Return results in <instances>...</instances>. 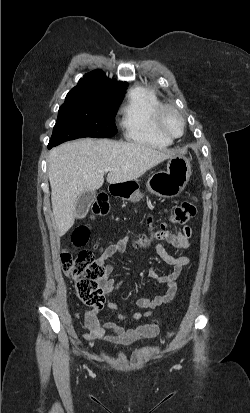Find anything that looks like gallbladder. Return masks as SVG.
I'll return each mask as SVG.
<instances>
[{
	"label": "gallbladder",
	"mask_w": 250,
	"mask_h": 413,
	"mask_svg": "<svg viewBox=\"0 0 250 413\" xmlns=\"http://www.w3.org/2000/svg\"><path fill=\"white\" fill-rule=\"evenodd\" d=\"M96 197L95 191H86L78 197L75 204V215L77 218H84L89 210L90 205Z\"/></svg>",
	"instance_id": "obj_1"
}]
</instances>
